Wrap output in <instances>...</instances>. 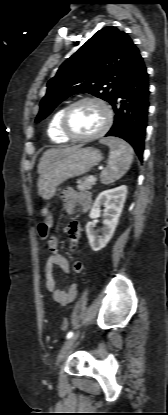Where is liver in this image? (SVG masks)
<instances>
[{"instance_id": "obj_1", "label": "liver", "mask_w": 168, "mask_h": 415, "mask_svg": "<svg viewBox=\"0 0 168 415\" xmlns=\"http://www.w3.org/2000/svg\"><path fill=\"white\" fill-rule=\"evenodd\" d=\"M74 147H65V148H54V149H48L45 151L39 161L38 164V173L41 175L44 173L47 168L58 158L66 155L68 152H70Z\"/></svg>"}]
</instances>
